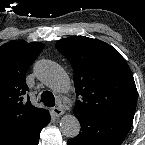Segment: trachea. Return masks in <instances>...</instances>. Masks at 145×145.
I'll return each instance as SVG.
<instances>
[{
    "instance_id": "trachea-1",
    "label": "trachea",
    "mask_w": 145,
    "mask_h": 145,
    "mask_svg": "<svg viewBox=\"0 0 145 145\" xmlns=\"http://www.w3.org/2000/svg\"><path fill=\"white\" fill-rule=\"evenodd\" d=\"M41 102L48 107H53L55 105V97L50 91H44L41 94Z\"/></svg>"
}]
</instances>
